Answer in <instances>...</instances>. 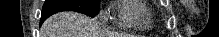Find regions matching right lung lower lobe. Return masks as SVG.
Segmentation results:
<instances>
[{"label": "right lung lower lobe", "instance_id": "obj_1", "mask_svg": "<svg viewBox=\"0 0 219 37\" xmlns=\"http://www.w3.org/2000/svg\"><path fill=\"white\" fill-rule=\"evenodd\" d=\"M57 12H60V11L57 10V11H52V12H49V13H44V14H42L41 23H43V21H44L46 18H48L49 16H51V15L57 13Z\"/></svg>", "mask_w": 219, "mask_h": 37}]
</instances>
